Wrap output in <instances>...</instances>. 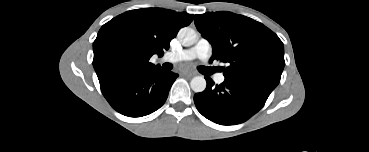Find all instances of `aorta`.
Listing matches in <instances>:
<instances>
[{
	"instance_id": "aorta-1",
	"label": "aorta",
	"mask_w": 369,
	"mask_h": 152,
	"mask_svg": "<svg viewBox=\"0 0 369 152\" xmlns=\"http://www.w3.org/2000/svg\"><path fill=\"white\" fill-rule=\"evenodd\" d=\"M182 45L191 46L197 41V33L192 28L184 27L178 33ZM206 80L203 76H195L190 82L191 89L196 92H203L206 89Z\"/></svg>"
}]
</instances>
